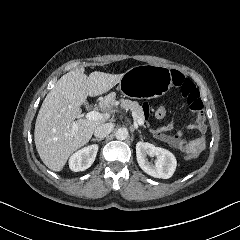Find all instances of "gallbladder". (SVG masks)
<instances>
[{
	"instance_id": "gallbladder-1",
	"label": "gallbladder",
	"mask_w": 240,
	"mask_h": 240,
	"mask_svg": "<svg viewBox=\"0 0 240 240\" xmlns=\"http://www.w3.org/2000/svg\"><path fill=\"white\" fill-rule=\"evenodd\" d=\"M83 112L84 113H89L90 112V109H91V104L90 103H84L83 104Z\"/></svg>"
}]
</instances>
